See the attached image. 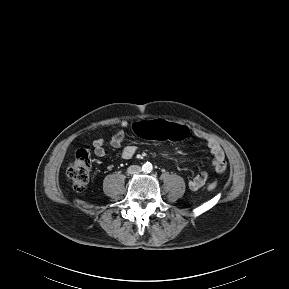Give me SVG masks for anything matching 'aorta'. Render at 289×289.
<instances>
[{
    "mask_svg": "<svg viewBox=\"0 0 289 289\" xmlns=\"http://www.w3.org/2000/svg\"><path fill=\"white\" fill-rule=\"evenodd\" d=\"M143 171L145 172H151L153 169V166L150 162H146L143 166H142Z\"/></svg>",
    "mask_w": 289,
    "mask_h": 289,
    "instance_id": "762f6f07",
    "label": "aorta"
}]
</instances>
